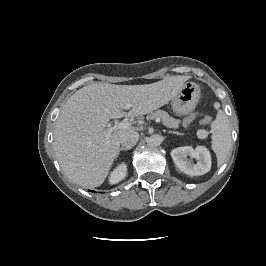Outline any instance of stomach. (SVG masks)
Here are the masks:
<instances>
[{"label": "stomach", "mask_w": 266, "mask_h": 266, "mask_svg": "<svg viewBox=\"0 0 266 266\" xmlns=\"http://www.w3.org/2000/svg\"><path fill=\"white\" fill-rule=\"evenodd\" d=\"M199 98V85L194 82H186L172 98V110L177 115H188L196 108Z\"/></svg>", "instance_id": "obj_1"}]
</instances>
